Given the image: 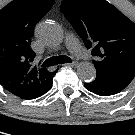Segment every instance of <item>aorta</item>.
<instances>
[{"instance_id": "762f6f07", "label": "aorta", "mask_w": 135, "mask_h": 135, "mask_svg": "<svg viewBox=\"0 0 135 135\" xmlns=\"http://www.w3.org/2000/svg\"><path fill=\"white\" fill-rule=\"evenodd\" d=\"M38 38L49 46H58L63 42L64 32L60 25L53 22H43L37 28ZM78 77L83 81H92L96 75L93 64L85 62L77 69Z\"/></svg>"}]
</instances>
